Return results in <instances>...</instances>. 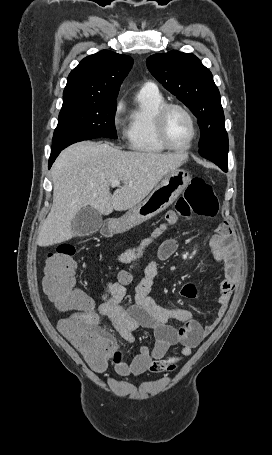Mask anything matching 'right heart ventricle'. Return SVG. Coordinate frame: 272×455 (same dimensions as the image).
<instances>
[{"mask_svg":"<svg viewBox=\"0 0 272 455\" xmlns=\"http://www.w3.org/2000/svg\"><path fill=\"white\" fill-rule=\"evenodd\" d=\"M163 103L165 99L158 90H139L135 106L129 113L125 132L131 150L147 154L166 150L158 140L154 127V115Z\"/></svg>","mask_w":272,"mask_h":455,"instance_id":"1","label":"right heart ventricle"}]
</instances>
